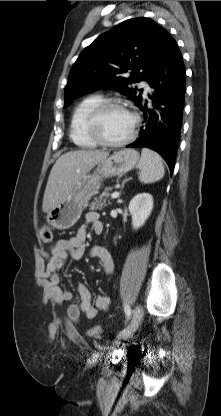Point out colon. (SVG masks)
Wrapping results in <instances>:
<instances>
[{"label": "colon", "instance_id": "obj_1", "mask_svg": "<svg viewBox=\"0 0 221 416\" xmlns=\"http://www.w3.org/2000/svg\"><path fill=\"white\" fill-rule=\"evenodd\" d=\"M41 238L45 243H50L52 241L53 235L50 227L45 226L41 229ZM87 334L93 338H100L103 334V331L98 327H94L89 329Z\"/></svg>", "mask_w": 221, "mask_h": 416}]
</instances>
